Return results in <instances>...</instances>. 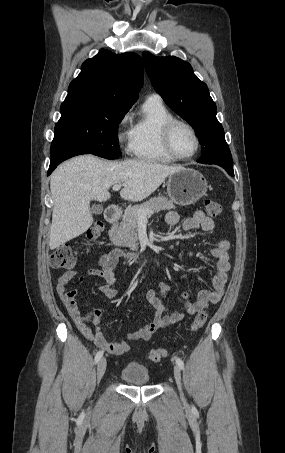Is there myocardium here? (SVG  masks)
<instances>
[{
    "label": "myocardium",
    "instance_id": "obj_1",
    "mask_svg": "<svg viewBox=\"0 0 285 453\" xmlns=\"http://www.w3.org/2000/svg\"><path fill=\"white\" fill-rule=\"evenodd\" d=\"M178 125H183V126L187 127L190 130V132L192 133L193 137H194L195 150L190 155H187V156L181 155L173 147L172 135H173L174 129ZM161 136H162V144H163L164 149L166 150V152L169 155H171L173 158H175L177 160H188V159H191L192 157H194L197 154V152H198V150L200 148V139H199V136H198V133H197L196 129L189 122H187L185 120H182V119L173 118V119L169 120L163 126L162 135Z\"/></svg>",
    "mask_w": 285,
    "mask_h": 453
}]
</instances>
